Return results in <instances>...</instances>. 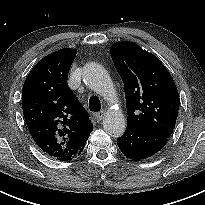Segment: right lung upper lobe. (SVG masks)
Returning a JSON list of instances; mask_svg holds the SVG:
<instances>
[{
    "label": "right lung upper lobe",
    "mask_w": 205,
    "mask_h": 205,
    "mask_svg": "<svg viewBox=\"0 0 205 205\" xmlns=\"http://www.w3.org/2000/svg\"><path fill=\"white\" fill-rule=\"evenodd\" d=\"M77 50L64 48L41 59L23 86L29 131L46 154L70 161L84 148L93 125L67 84Z\"/></svg>",
    "instance_id": "cb5924a9"
}]
</instances>
